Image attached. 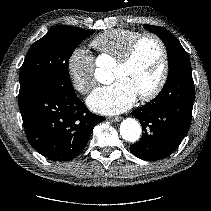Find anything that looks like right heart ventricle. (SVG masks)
<instances>
[{"mask_svg": "<svg viewBox=\"0 0 211 211\" xmlns=\"http://www.w3.org/2000/svg\"><path fill=\"white\" fill-rule=\"evenodd\" d=\"M141 33L129 29H112L105 31L91 41V46L101 55L117 61L127 50L131 42Z\"/></svg>", "mask_w": 211, "mask_h": 211, "instance_id": "1", "label": "right heart ventricle"}]
</instances>
